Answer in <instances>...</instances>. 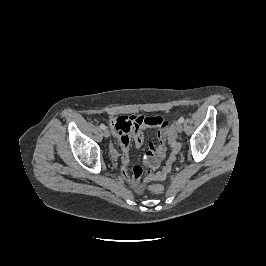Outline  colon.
Segmentation results:
<instances>
[{
  "label": "colon",
  "instance_id": "1",
  "mask_svg": "<svg viewBox=\"0 0 266 266\" xmlns=\"http://www.w3.org/2000/svg\"><path fill=\"white\" fill-rule=\"evenodd\" d=\"M167 139L171 147V153L168 157V160L161 171L159 172H148L146 174L145 180L149 181H161L164 180L167 175L170 173L172 166L177 158V155L180 151V144L176 139L173 129H168ZM150 191L155 194H161L164 191L163 185L159 183H153L149 186Z\"/></svg>",
  "mask_w": 266,
  "mask_h": 266
}]
</instances>
